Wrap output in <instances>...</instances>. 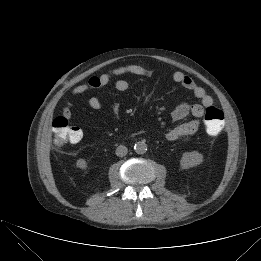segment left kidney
<instances>
[{"mask_svg": "<svg viewBox=\"0 0 261 261\" xmlns=\"http://www.w3.org/2000/svg\"><path fill=\"white\" fill-rule=\"evenodd\" d=\"M204 157L198 151L185 152L180 160V165L184 169H189L200 165Z\"/></svg>", "mask_w": 261, "mask_h": 261, "instance_id": "5707ae66", "label": "left kidney"}]
</instances>
